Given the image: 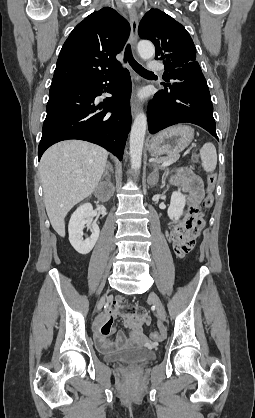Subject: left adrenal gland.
Masks as SVG:
<instances>
[{
	"label": "left adrenal gland",
	"mask_w": 255,
	"mask_h": 418,
	"mask_svg": "<svg viewBox=\"0 0 255 418\" xmlns=\"http://www.w3.org/2000/svg\"><path fill=\"white\" fill-rule=\"evenodd\" d=\"M151 166L154 167V171L152 172V174L150 176H152L154 174H157L158 173V170L161 168L159 165H157L156 163H153V162H151ZM148 184L151 185V186H154L156 183H150L148 181Z\"/></svg>",
	"instance_id": "obj_1"
}]
</instances>
